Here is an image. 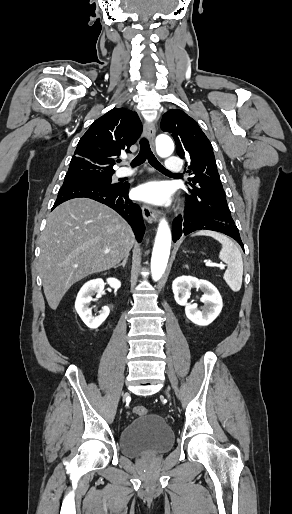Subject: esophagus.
<instances>
[{"label": "esophagus", "mask_w": 292, "mask_h": 514, "mask_svg": "<svg viewBox=\"0 0 292 514\" xmlns=\"http://www.w3.org/2000/svg\"><path fill=\"white\" fill-rule=\"evenodd\" d=\"M144 134L149 139L150 146L152 150H155V135H156V129L154 124H144ZM142 214L144 218L147 220V222H155L158 220L159 213L156 209L148 206V205H142Z\"/></svg>", "instance_id": "34e87169"}]
</instances>
